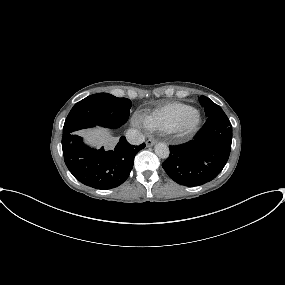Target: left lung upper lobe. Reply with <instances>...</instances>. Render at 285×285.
<instances>
[{"label": "left lung upper lobe", "instance_id": "obj_1", "mask_svg": "<svg viewBox=\"0 0 285 285\" xmlns=\"http://www.w3.org/2000/svg\"><path fill=\"white\" fill-rule=\"evenodd\" d=\"M199 102L201 106L204 107V111L207 117H210L216 114H224V111L221 109V107L215 104L213 101H211L206 96H201L199 98Z\"/></svg>", "mask_w": 285, "mask_h": 285}]
</instances>
